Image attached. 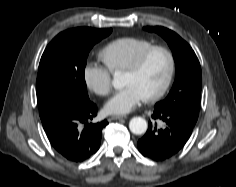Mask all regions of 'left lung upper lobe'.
Returning <instances> with one entry per match:
<instances>
[{"label":"left lung upper lobe","mask_w":236,"mask_h":187,"mask_svg":"<svg viewBox=\"0 0 236 187\" xmlns=\"http://www.w3.org/2000/svg\"><path fill=\"white\" fill-rule=\"evenodd\" d=\"M162 36L172 50L176 65L175 81L167 98L155 106L184 112L198 118L202 74L198 58L190 45L175 32L161 27H145Z\"/></svg>","instance_id":"left-lung-upper-lobe-1"}]
</instances>
